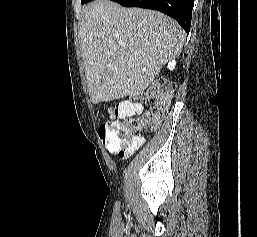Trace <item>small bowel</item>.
<instances>
[{
    "mask_svg": "<svg viewBox=\"0 0 257 237\" xmlns=\"http://www.w3.org/2000/svg\"><path fill=\"white\" fill-rule=\"evenodd\" d=\"M142 110V105L135 101L125 100L120 102L114 111H112V117L125 118L133 116L140 113ZM144 143V138L142 136H135L131 141L126 142L122 147L120 146H110L107 149L119 155L120 158H125L132 155L142 144Z\"/></svg>",
    "mask_w": 257,
    "mask_h": 237,
    "instance_id": "obj_1",
    "label": "small bowel"
}]
</instances>
